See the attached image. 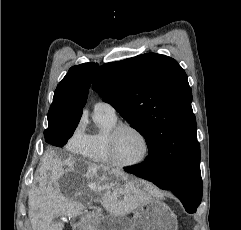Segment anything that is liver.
<instances>
[{
  "label": "liver",
  "mask_w": 241,
  "mask_h": 230,
  "mask_svg": "<svg viewBox=\"0 0 241 230\" xmlns=\"http://www.w3.org/2000/svg\"><path fill=\"white\" fill-rule=\"evenodd\" d=\"M47 160L49 174L45 171L40 173L35 178L38 185L35 184L29 191L28 215L33 230H62L63 224L54 223V217H75L82 212L83 205L70 198L71 194L62 193L59 181L64 176H77L80 170L71 155L62 160L51 152L47 155ZM81 175L86 179V184L80 185L74 197L80 196L85 190L100 193L102 206L114 216L133 212L151 198L139 184L127 181L124 173L118 169L89 163L86 172ZM111 175L122 176L126 182H111Z\"/></svg>",
  "instance_id": "liver-1"
}]
</instances>
